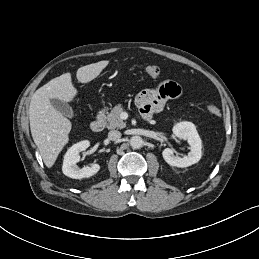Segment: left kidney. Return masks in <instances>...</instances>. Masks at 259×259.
Masks as SVG:
<instances>
[{"instance_id": "obj_1", "label": "left kidney", "mask_w": 259, "mask_h": 259, "mask_svg": "<svg viewBox=\"0 0 259 259\" xmlns=\"http://www.w3.org/2000/svg\"><path fill=\"white\" fill-rule=\"evenodd\" d=\"M174 135L184 139L190 146V152L183 158L175 156L171 148H165L162 152L164 160L171 166L180 168L191 166L197 163L202 156V141L198 135L195 125L192 122H180L173 127Z\"/></svg>"}]
</instances>
